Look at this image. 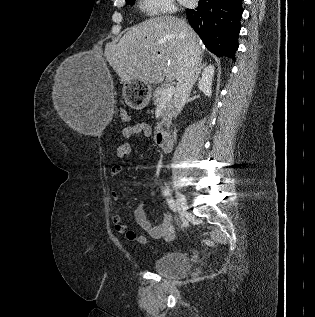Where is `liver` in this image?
Returning a JSON list of instances; mask_svg holds the SVG:
<instances>
[{
    "instance_id": "1",
    "label": "liver",
    "mask_w": 315,
    "mask_h": 317,
    "mask_svg": "<svg viewBox=\"0 0 315 317\" xmlns=\"http://www.w3.org/2000/svg\"><path fill=\"white\" fill-rule=\"evenodd\" d=\"M187 45L199 56L204 50L202 41L188 23L174 16H162L131 28L119 43L107 45L105 57L124 81L136 79L159 84L164 79L178 80ZM70 126L81 128L73 121Z\"/></svg>"
}]
</instances>
